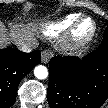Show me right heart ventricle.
Returning <instances> with one entry per match:
<instances>
[{
	"label": "right heart ventricle",
	"mask_w": 108,
	"mask_h": 108,
	"mask_svg": "<svg viewBox=\"0 0 108 108\" xmlns=\"http://www.w3.org/2000/svg\"><path fill=\"white\" fill-rule=\"evenodd\" d=\"M77 19V16H68L58 21L50 22L42 27V33L48 37H54L70 27Z\"/></svg>",
	"instance_id": "right-heart-ventricle-1"
}]
</instances>
